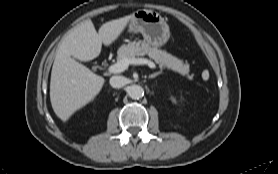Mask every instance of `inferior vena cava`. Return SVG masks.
Segmentation results:
<instances>
[{"instance_id": "inferior-vena-cava-1", "label": "inferior vena cava", "mask_w": 278, "mask_h": 174, "mask_svg": "<svg viewBox=\"0 0 278 174\" xmlns=\"http://www.w3.org/2000/svg\"><path fill=\"white\" fill-rule=\"evenodd\" d=\"M127 79L123 76H112L110 78V85L113 88H121L126 85Z\"/></svg>"}]
</instances>
